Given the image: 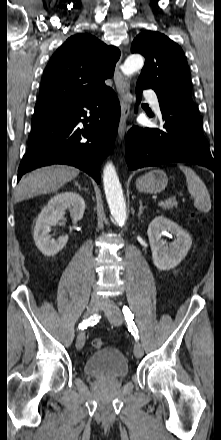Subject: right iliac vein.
<instances>
[{"instance_id":"right-iliac-vein-1","label":"right iliac vein","mask_w":221,"mask_h":440,"mask_svg":"<svg viewBox=\"0 0 221 440\" xmlns=\"http://www.w3.org/2000/svg\"><path fill=\"white\" fill-rule=\"evenodd\" d=\"M100 307H101V301L97 297L92 296L87 311L85 312L84 318L96 314L100 309ZM84 344H85V333L81 331L76 339V348L80 350L83 348Z\"/></svg>"}]
</instances>
